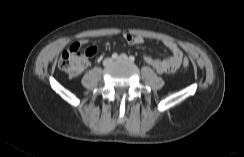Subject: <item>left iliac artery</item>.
I'll list each match as a JSON object with an SVG mask.
<instances>
[{"instance_id":"44dca946","label":"left iliac artery","mask_w":244,"mask_h":157,"mask_svg":"<svg viewBox=\"0 0 244 157\" xmlns=\"http://www.w3.org/2000/svg\"><path fill=\"white\" fill-rule=\"evenodd\" d=\"M129 59H130V61H132V62L135 61V57H134V56H130Z\"/></svg>"}]
</instances>
